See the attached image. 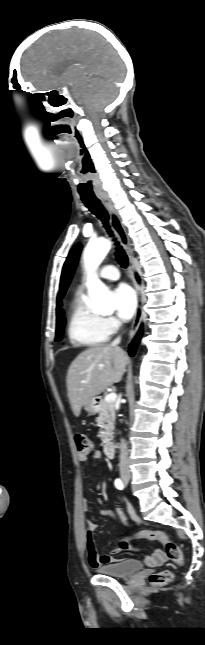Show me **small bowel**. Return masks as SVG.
Masks as SVG:
<instances>
[{"instance_id":"c3829d8e","label":"small bowel","mask_w":205,"mask_h":645,"mask_svg":"<svg viewBox=\"0 0 205 645\" xmlns=\"http://www.w3.org/2000/svg\"><path fill=\"white\" fill-rule=\"evenodd\" d=\"M93 458H99L100 457V452L98 450L94 451L92 454ZM88 457L85 455H79L78 460L80 462H85L87 461ZM126 501V508L128 512V516H126L119 508L116 507H108V508H103L99 514L100 516H106L114 519L117 522H120L124 525H129V520L133 522H138V517L135 512V509L131 502L129 500ZM88 501L87 499L83 500V510L87 511L88 510ZM96 528V524L93 522H89L87 526V533H86V550L88 554V561L90 565L93 568H98L101 565L105 564H110L117 562V555L120 553L119 548L113 549L109 554H100L94 544V541L92 539V532ZM138 538V534L136 535ZM167 560V557L165 553L161 549H157L152 555L146 556L144 558V563L148 566H159L163 564Z\"/></svg>"}]
</instances>
